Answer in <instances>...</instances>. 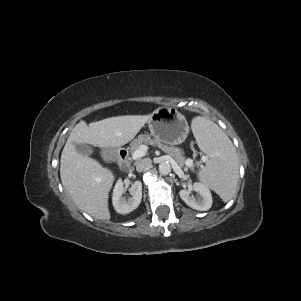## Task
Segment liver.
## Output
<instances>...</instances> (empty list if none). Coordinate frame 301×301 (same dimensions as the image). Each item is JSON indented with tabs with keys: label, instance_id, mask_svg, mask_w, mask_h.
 Returning a JSON list of instances; mask_svg holds the SVG:
<instances>
[{
	"label": "liver",
	"instance_id": "1",
	"mask_svg": "<svg viewBox=\"0 0 301 301\" xmlns=\"http://www.w3.org/2000/svg\"><path fill=\"white\" fill-rule=\"evenodd\" d=\"M150 116L110 117L89 125L81 121L72 129L61 154L60 177L79 209L96 219L109 220L108 194L115 177L96 160L80 155L75 144L99 148L123 146L138 134Z\"/></svg>",
	"mask_w": 301,
	"mask_h": 301
}]
</instances>
